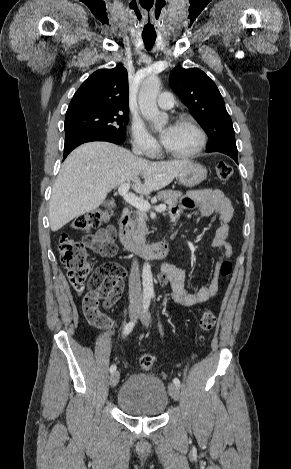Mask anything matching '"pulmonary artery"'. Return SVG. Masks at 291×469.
<instances>
[{
    "mask_svg": "<svg viewBox=\"0 0 291 469\" xmlns=\"http://www.w3.org/2000/svg\"><path fill=\"white\" fill-rule=\"evenodd\" d=\"M157 104L162 109H170L174 105L173 95L169 92H163L159 95Z\"/></svg>",
    "mask_w": 291,
    "mask_h": 469,
    "instance_id": "pulmonary-artery-1",
    "label": "pulmonary artery"
}]
</instances>
